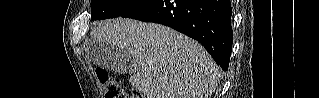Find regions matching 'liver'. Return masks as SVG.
Instances as JSON below:
<instances>
[{"label": "liver", "mask_w": 319, "mask_h": 98, "mask_svg": "<svg viewBox=\"0 0 319 98\" xmlns=\"http://www.w3.org/2000/svg\"><path fill=\"white\" fill-rule=\"evenodd\" d=\"M90 34L94 43L135 58L129 82L144 98H211L219 82V68L208 52L169 27L116 18Z\"/></svg>", "instance_id": "6515ba94"}]
</instances>
